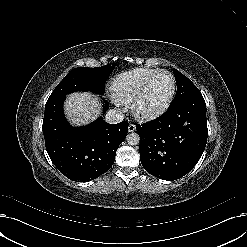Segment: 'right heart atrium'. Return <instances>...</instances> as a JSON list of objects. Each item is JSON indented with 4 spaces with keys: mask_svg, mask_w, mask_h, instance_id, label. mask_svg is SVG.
Wrapping results in <instances>:
<instances>
[{
    "mask_svg": "<svg viewBox=\"0 0 247 247\" xmlns=\"http://www.w3.org/2000/svg\"><path fill=\"white\" fill-rule=\"evenodd\" d=\"M115 102L118 103V104H121L120 102H118L116 99H115Z\"/></svg>",
    "mask_w": 247,
    "mask_h": 247,
    "instance_id": "1",
    "label": "right heart atrium"
}]
</instances>
